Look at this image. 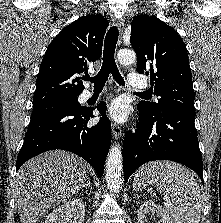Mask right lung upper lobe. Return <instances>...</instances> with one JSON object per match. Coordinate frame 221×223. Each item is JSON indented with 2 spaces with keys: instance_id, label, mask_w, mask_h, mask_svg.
<instances>
[{
  "instance_id": "right-lung-upper-lobe-1",
  "label": "right lung upper lobe",
  "mask_w": 221,
  "mask_h": 223,
  "mask_svg": "<svg viewBox=\"0 0 221 223\" xmlns=\"http://www.w3.org/2000/svg\"><path fill=\"white\" fill-rule=\"evenodd\" d=\"M109 22L103 16L81 17L50 43L36 80L33 104L77 97L84 89L78 74L98 60Z\"/></svg>"
}]
</instances>
